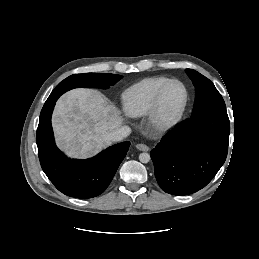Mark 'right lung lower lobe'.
<instances>
[{
	"instance_id": "obj_1",
	"label": "right lung lower lobe",
	"mask_w": 259,
	"mask_h": 259,
	"mask_svg": "<svg viewBox=\"0 0 259 259\" xmlns=\"http://www.w3.org/2000/svg\"><path fill=\"white\" fill-rule=\"evenodd\" d=\"M57 99L45 102L40 113L36 143L41 167L54 186L65 195L84 199L98 196L113 179L130 142L108 147L90 159L67 158L56 147L51 126Z\"/></svg>"
}]
</instances>
